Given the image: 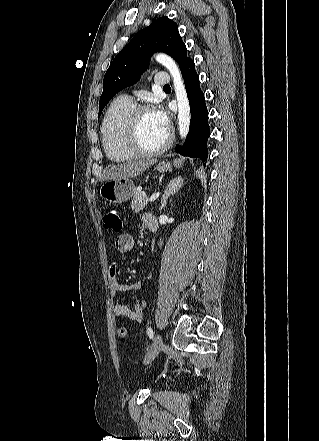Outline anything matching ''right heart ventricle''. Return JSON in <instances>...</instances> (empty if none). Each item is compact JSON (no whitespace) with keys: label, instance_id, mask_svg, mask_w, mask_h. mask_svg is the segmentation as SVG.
I'll return each instance as SVG.
<instances>
[{"label":"right heart ventricle","instance_id":"e07e8e85","mask_svg":"<svg viewBox=\"0 0 319 441\" xmlns=\"http://www.w3.org/2000/svg\"><path fill=\"white\" fill-rule=\"evenodd\" d=\"M134 107V101L121 96L109 105L104 115L101 126L102 144L112 161L130 160L136 156L124 141L126 121Z\"/></svg>","mask_w":319,"mask_h":441}]
</instances>
